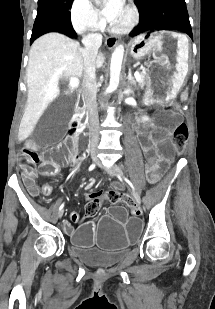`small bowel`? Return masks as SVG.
Instances as JSON below:
<instances>
[{"instance_id":"obj_1","label":"small bowel","mask_w":215,"mask_h":309,"mask_svg":"<svg viewBox=\"0 0 215 309\" xmlns=\"http://www.w3.org/2000/svg\"><path fill=\"white\" fill-rule=\"evenodd\" d=\"M30 186V193L32 194V195H37L38 194V189L35 187V186H33V183L32 184H30L29 185ZM131 206V208H132V212H133V210L134 209H139L138 208V206L133 202L132 203V205H130Z\"/></svg>"}]
</instances>
